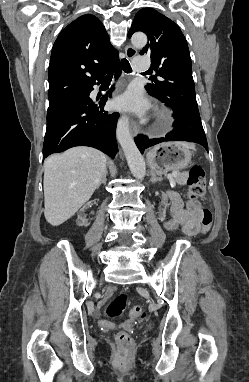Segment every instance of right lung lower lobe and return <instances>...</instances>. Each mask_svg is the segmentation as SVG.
Here are the masks:
<instances>
[{
	"label": "right lung lower lobe",
	"mask_w": 249,
	"mask_h": 382,
	"mask_svg": "<svg viewBox=\"0 0 249 382\" xmlns=\"http://www.w3.org/2000/svg\"><path fill=\"white\" fill-rule=\"evenodd\" d=\"M108 72H114L115 77L121 74L119 59L98 76L97 82H93L84 90V99L47 114L43 159L50 154L62 152L74 146H90L111 157L115 156L117 149L115 129L119 114H111L103 110L113 89L111 88L110 93L101 99L89 98L93 85L100 84L102 76Z\"/></svg>",
	"instance_id": "98d812e1"
}]
</instances>
